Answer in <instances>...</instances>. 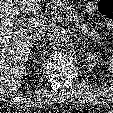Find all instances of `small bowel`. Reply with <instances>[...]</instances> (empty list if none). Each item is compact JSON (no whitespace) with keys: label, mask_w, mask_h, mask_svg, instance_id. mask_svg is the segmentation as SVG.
<instances>
[{"label":"small bowel","mask_w":113,"mask_h":113,"mask_svg":"<svg viewBox=\"0 0 113 113\" xmlns=\"http://www.w3.org/2000/svg\"><path fill=\"white\" fill-rule=\"evenodd\" d=\"M86 12L88 14H92L94 12V4L93 3H89L86 7Z\"/></svg>","instance_id":"c3829d8e"}]
</instances>
